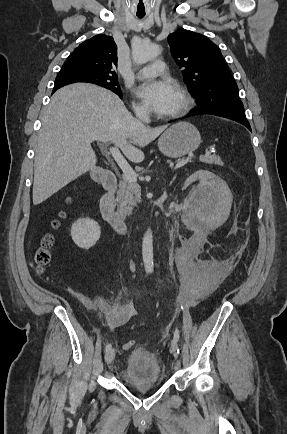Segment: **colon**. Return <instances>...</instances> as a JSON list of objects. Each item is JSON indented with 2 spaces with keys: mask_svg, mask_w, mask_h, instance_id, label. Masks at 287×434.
<instances>
[{
  "mask_svg": "<svg viewBox=\"0 0 287 434\" xmlns=\"http://www.w3.org/2000/svg\"><path fill=\"white\" fill-rule=\"evenodd\" d=\"M54 227L57 226V222H55ZM53 244V237L51 234H45L41 240L38 248L34 253V262L36 266V271L38 274H41L44 270V267L50 261V247ZM135 342L133 340L128 341L124 344L123 348L125 350L131 349L134 346Z\"/></svg>",
  "mask_w": 287,
  "mask_h": 434,
  "instance_id": "obj_1",
  "label": "colon"
}]
</instances>
